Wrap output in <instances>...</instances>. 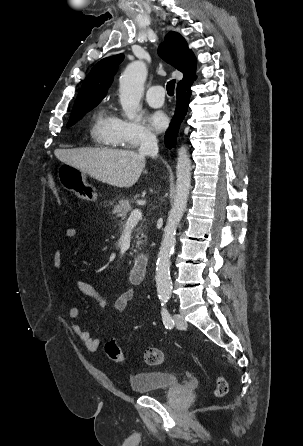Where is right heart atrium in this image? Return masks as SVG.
Listing matches in <instances>:
<instances>
[{
	"mask_svg": "<svg viewBox=\"0 0 303 446\" xmlns=\"http://www.w3.org/2000/svg\"><path fill=\"white\" fill-rule=\"evenodd\" d=\"M117 136L120 144L127 148H137L156 141V135L140 119H118Z\"/></svg>",
	"mask_w": 303,
	"mask_h": 446,
	"instance_id": "d8ad5b80",
	"label": "right heart atrium"
}]
</instances>
